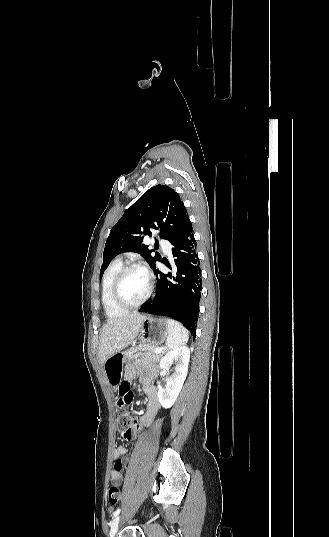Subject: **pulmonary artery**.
<instances>
[{"label":"pulmonary artery","instance_id":"pulmonary-artery-1","mask_svg":"<svg viewBox=\"0 0 329 537\" xmlns=\"http://www.w3.org/2000/svg\"><path fill=\"white\" fill-rule=\"evenodd\" d=\"M160 242L162 244L164 252L169 254L171 252V245L165 240H161Z\"/></svg>","mask_w":329,"mask_h":537}]
</instances>
